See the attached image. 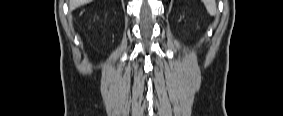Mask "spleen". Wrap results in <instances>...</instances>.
<instances>
[{
  "label": "spleen",
  "mask_w": 283,
  "mask_h": 116,
  "mask_svg": "<svg viewBox=\"0 0 283 116\" xmlns=\"http://www.w3.org/2000/svg\"><path fill=\"white\" fill-rule=\"evenodd\" d=\"M205 6L207 9V12L211 15V16H215L217 9H216V3L215 0H207L205 1Z\"/></svg>",
  "instance_id": "3e777b00"
}]
</instances>
